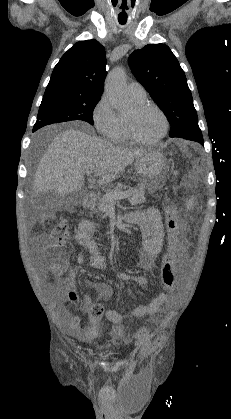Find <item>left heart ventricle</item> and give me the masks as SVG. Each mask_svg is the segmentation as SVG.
Returning a JSON list of instances; mask_svg holds the SVG:
<instances>
[{"mask_svg":"<svg viewBox=\"0 0 231 419\" xmlns=\"http://www.w3.org/2000/svg\"><path fill=\"white\" fill-rule=\"evenodd\" d=\"M128 117L132 119L135 133L142 139H153L163 131V119L153 109H147L142 112H135L133 109L128 114Z\"/></svg>","mask_w":231,"mask_h":419,"instance_id":"b2bd125f","label":"left heart ventricle"}]
</instances>
